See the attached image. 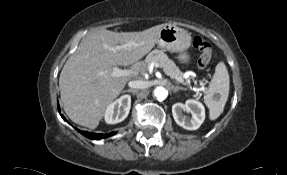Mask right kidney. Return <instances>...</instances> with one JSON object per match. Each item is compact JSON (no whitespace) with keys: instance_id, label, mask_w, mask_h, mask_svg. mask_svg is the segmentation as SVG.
Wrapping results in <instances>:
<instances>
[{"instance_id":"ca27d5eb","label":"right kidney","mask_w":287,"mask_h":175,"mask_svg":"<svg viewBox=\"0 0 287 175\" xmlns=\"http://www.w3.org/2000/svg\"><path fill=\"white\" fill-rule=\"evenodd\" d=\"M131 107V96L123 95L110 103L106 108L104 118L108 124L122 122L129 114Z\"/></svg>"}]
</instances>
